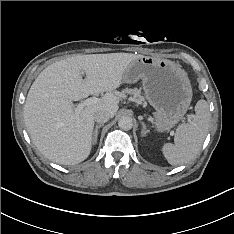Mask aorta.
<instances>
[{"label": "aorta", "mask_w": 234, "mask_h": 234, "mask_svg": "<svg viewBox=\"0 0 234 234\" xmlns=\"http://www.w3.org/2000/svg\"><path fill=\"white\" fill-rule=\"evenodd\" d=\"M118 126L122 130H130L133 126V120L130 116H122L118 120Z\"/></svg>", "instance_id": "1"}]
</instances>
